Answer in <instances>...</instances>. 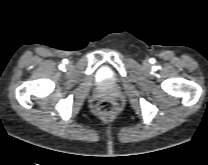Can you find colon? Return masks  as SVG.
<instances>
[{
	"label": "colon",
	"mask_w": 208,
	"mask_h": 165,
	"mask_svg": "<svg viewBox=\"0 0 208 165\" xmlns=\"http://www.w3.org/2000/svg\"><path fill=\"white\" fill-rule=\"evenodd\" d=\"M96 112L101 118H111L117 112V105L111 99H101L96 104Z\"/></svg>",
	"instance_id": "5ec220e1"
}]
</instances>
